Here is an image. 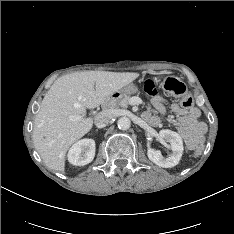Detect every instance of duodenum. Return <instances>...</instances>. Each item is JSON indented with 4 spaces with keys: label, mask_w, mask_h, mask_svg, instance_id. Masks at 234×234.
<instances>
[{
    "label": "duodenum",
    "mask_w": 234,
    "mask_h": 234,
    "mask_svg": "<svg viewBox=\"0 0 234 234\" xmlns=\"http://www.w3.org/2000/svg\"><path fill=\"white\" fill-rule=\"evenodd\" d=\"M119 97H120L119 93H114L113 95L108 97L102 105L103 109L107 110L112 108L113 105L116 103V101L119 99Z\"/></svg>",
    "instance_id": "1"
}]
</instances>
